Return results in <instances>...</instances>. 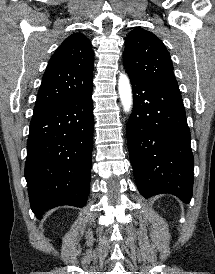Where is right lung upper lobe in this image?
<instances>
[{
  "mask_svg": "<svg viewBox=\"0 0 215 274\" xmlns=\"http://www.w3.org/2000/svg\"><path fill=\"white\" fill-rule=\"evenodd\" d=\"M94 53L81 33L66 38L57 48L42 78L34 114L48 110L92 85Z\"/></svg>",
  "mask_w": 215,
  "mask_h": 274,
  "instance_id": "1",
  "label": "right lung upper lobe"
}]
</instances>
